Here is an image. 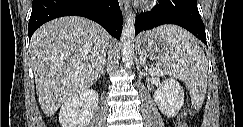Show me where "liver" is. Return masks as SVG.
Here are the masks:
<instances>
[{
	"mask_svg": "<svg viewBox=\"0 0 243 127\" xmlns=\"http://www.w3.org/2000/svg\"><path fill=\"white\" fill-rule=\"evenodd\" d=\"M111 40L99 24L78 16L52 20L33 34L29 50L38 101L46 116L94 84Z\"/></svg>",
	"mask_w": 243,
	"mask_h": 127,
	"instance_id": "liver-1",
	"label": "liver"
}]
</instances>
